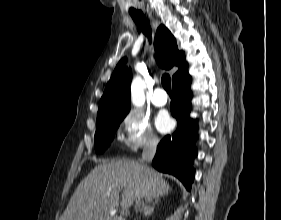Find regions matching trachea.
Instances as JSON below:
<instances>
[{"mask_svg": "<svg viewBox=\"0 0 281 220\" xmlns=\"http://www.w3.org/2000/svg\"><path fill=\"white\" fill-rule=\"evenodd\" d=\"M132 19L137 24L138 28L148 37V39H151V27L148 24L145 16L141 11L138 10H130L129 11ZM162 86L167 91L169 95H171V80L170 76L168 74H164L162 76Z\"/></svg>", "mask_w": 281, "mask_h": 220, "instance_id": "trachea-1", "label": "trachea"}]
</instances>
